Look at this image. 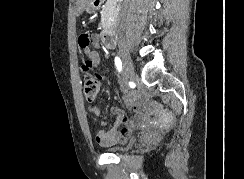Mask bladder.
<instances>
[{"label": "bladder", "mask_w": 244, "mask_h": 179, "mask_svg": "<svg viewBox=\"0 0 244 179\" xmlns=\"http://www.w3.org/2000/svg\"><path fill=\"white\" fill-rule=\"evenodd\" d=\"M108 150L112 153L113 151H119V147L108 148Z\"/></svg>", "instance_id": "obj_1"}]
</instances>
